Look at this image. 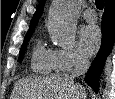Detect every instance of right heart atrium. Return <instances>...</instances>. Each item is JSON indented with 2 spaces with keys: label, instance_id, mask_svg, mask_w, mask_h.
Returning <instances> with one entry per match:
<instances>
[{
  "label": "right heart atrium",
  "instance_id": "right-heart-atrium-1",
  "mask_svg": "<svg viewBox=\"0 0 115 99\" xmlns=\"http://www.w3.org/2000/svg\"><path fill=\"white\" fill-rule=\"evenodd\" d=\"M56 69L58 71H70L73 67L82 64L86 60L84 52L79 47L56 49L53 51Z\"/></svg>",
  "mask_w": 115,
  "mask_h": 99
}]
</instances>
